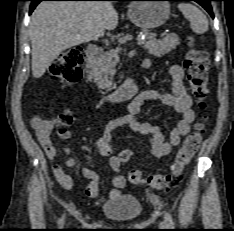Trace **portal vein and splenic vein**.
<instances>
[{
	"label": "portal vein and splenic vein",
	"instance_id": "portal-vein-and-splenic-vein-1",
	"mask_svg": "<svg viewBox=\"0 0 234 231\" xmlns=\"http://www.w3.org/2000/svg\"><path fill=\"white\" fill-rule=\"evenodd\" d=\"M138 45H143L146 43V40L145 39H138Z\"/></svg>",
	"mask_w": 234,
	"mask_h": 231
}]
</instances>
